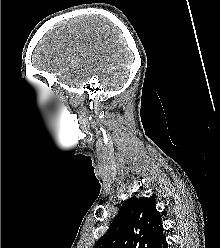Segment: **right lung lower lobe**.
I'll return each instance as SVG.
<instances>
[{
  "mask_svg": "<svg viewBox=\"0 0 220 248\" xmlns=\"http://www.w3.org/2000/svg\"><path fill=\"white\" fill-rule=\"evenodd\" d=\"M156 248H167V242H166L165 238L162 240V242Z\"/></svg>",
  "mask_w": 220,
  "mask_h": 248,
  "instance_id": "1",
  "label": "right lung lower lobe"
}]
</instances>
